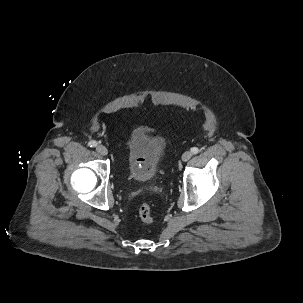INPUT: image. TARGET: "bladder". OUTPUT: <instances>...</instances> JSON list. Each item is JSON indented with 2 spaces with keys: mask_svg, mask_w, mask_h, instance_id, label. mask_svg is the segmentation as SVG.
Instances as JSON below:
<instances>
[{
  "mask_svg": "<svg viewBox=\"0 0 303 303\" xmlns=\"http://www.w3.org/2000/svg\"><path fill=\"white\" fill-rule=\"evenodd\" d=\"M167 140L145 127L135 128L127 140V171L136 182L152 180L167 152Z\"/></svg>",
  "mask_w": 303,
  "mask_h": 303,
  "instance_id": "31cf9c89",
  "label": "bladder"
}]
</instances>
